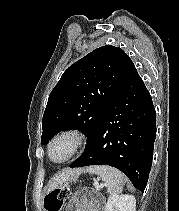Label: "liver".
I'll use <instances>...</instances> for the list:
<instances>
[{
    "mask_svg": "<svg viewBox=\"0 0 179 211\" xmlns=\"http://www.w3.org/2000/svg\"><path fill=\"white\" fill-rule=\"evenodd\" d=\"M78 171H80V169H65L62 172L56 174L49 185L48 192L57 188L60 184L65 182L71 175L75 174Z\"/></svg>",
    "mask_w": 179,
    "mask_h": 211,
    "instance_id": "liver-1",
    "label": "liver"
}]
</instances>
